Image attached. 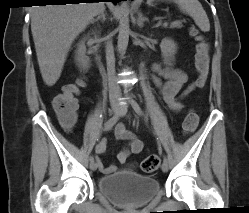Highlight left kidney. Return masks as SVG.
I'll list each match as a JSON object with an SVG mask.
<instances>
[{
    "instance_id": "left-kidney-1",
    "label": "left kidney",
    "mask_w": 249,
    "mask_h": 213,
    "mask_svg": "<svg viewBox=\"0 0 249 213\" xmlns=\"http://www.w3.org/2000/svg\"><path fill=\"white\" fill-rule=\"evenodd\" d=\"M162 57L164 58V63L171 66L174 59V55L177 50L176 43L172 39L165 38L160 44Z\"/></svg>"
}]
</instances>
